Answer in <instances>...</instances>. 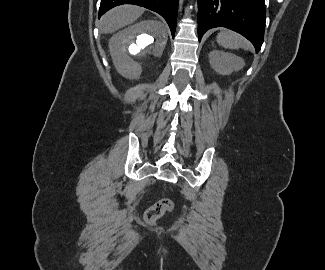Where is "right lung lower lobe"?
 Returning a JSON list of instances; mask_svg holds the SVG:
<instances>
[{"label": "right lung lower lobe", "instance_id": "obj_1", "mask_svg": "<svg viewBox=\"0 0 325 270\" xmlns=\"http://www.w3.org/2000/svg\"><path fill=\"white\" fill-rule=\"evenodd\" d=\"M179 0H101L99 17L121 4H135L159 13L168 23L174 37Z\"/></svg>", "mask_w": 325, "mask_h": 270}]
</instances>
